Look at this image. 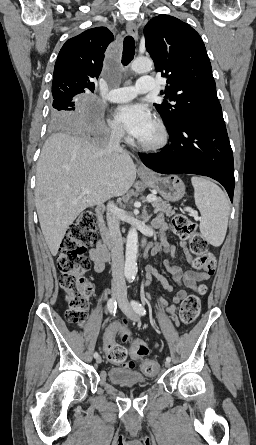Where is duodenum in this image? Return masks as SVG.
<instances>
[{"instance_id": "obj_1", "label": "duodenum", "mask_w": 256, "mask_h": 445, "mask_svg": "<svg viewBox=\"0 0 256 445\" xmlns=\"http://www.w3.org/2000/svg\"><path fill=\"white\" fill-rule=\"evenodd\" d=\"M96 212H97V219H98V229H99V233L100 236L103 240L104 246L106 247V249H112L113 248V244L110 238V235L108 233V230L106 228L105 222H104V213H105V208L102 205L97 206L96 208ZM143 247H148L149 243L147 240H144L142 242ZM146 258V256H145Z\"/></svg>"}]
</instances>
